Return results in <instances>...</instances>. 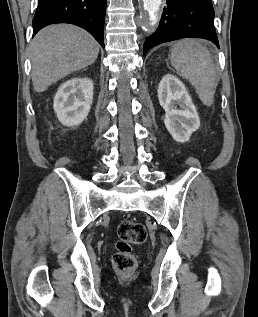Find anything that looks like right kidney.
Masks as SVG:
<instances>
[{
  "label": "right kidney",
  "mask_w": 258,
  "mask_h": 317,
  "mask_svg": "<svg viewBox=\"0 0 258 317\" xmlns=\"http://www.w3.org/2000/svg\"><path fill=\"white\" fill-rule=\"evenodd\" d=\"M93 88L91 78L80 76L61 84L54 96V110L62 124L73 126L86 118L93 102Z\"/></svg>",
  "instance_id": "right-kidney-1"
}]
</instances>
